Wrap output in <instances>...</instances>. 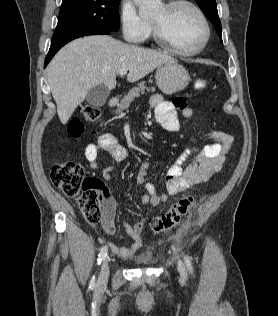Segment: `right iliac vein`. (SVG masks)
Returning a JSON list of instances; mask_svg holds the SVG:
<instances>
[{"label":"right iliac vein","mask_w":278,"mask_h":316,"mask_svg":"<svg viewBox=\"0 0 278 316\" xmlns=\"http://www.w3.org/2000/svg\"><path fill=\"white\" fill-rule=\"evenodd\" d=\"M109 277V258H105L102 262V266L100 269V274L98 278V285L104 286L106 285Z\"/></svg>","instance_id":"right-iliac-vein-1"}]
</instances>
